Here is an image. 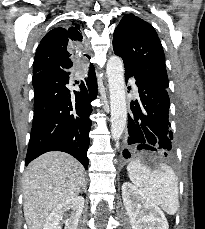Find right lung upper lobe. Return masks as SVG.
I'll use <instances>...</instances> for the list:
<instances>
[{"instance_id":"obj_1","label":"right lung upper lobe","mask_w":205,"mask_h":229,"mask_svg":"<svg viewBox=\"0 0 205 229\" xmlns=\"http://www.w3.org/2000/svg\"><path fill=\"white\" fill-rule=\"evenodd\" d=\"M83 47V36L78 24L73 22V26L69 28L59 27L51 30L44 36L37 48L33 74L50 67L70 69L75 52L80 51Z\"/></svg>"}]
</instances>
